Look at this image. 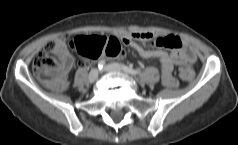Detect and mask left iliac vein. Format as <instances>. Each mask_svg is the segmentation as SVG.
<instances>
[{
  "label": "left iliac vein",
  "instance_id": "left-iliac-vein-1",
  "mask_svg": "<svg viewBox=\"0 0 238 145\" xmlns=\"http://www.w3.org/2000/svg\"><path fill=\"white\" fill-rule=\"evenodd\" d=\"M105 71H108V72H116V73H122V72H123V69H122V66H121V65H119V64H117V63H111V64L106 65Z\"/></svg>",
  "mask_w": 238,
  "mask_h": 145
}]
</instances>
